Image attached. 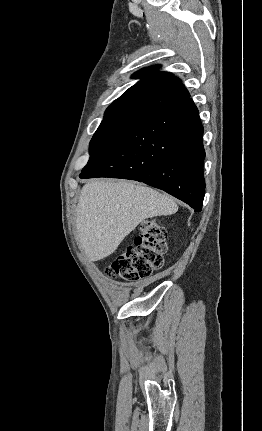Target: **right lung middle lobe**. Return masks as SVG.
<instances>
[{
  "label": "right lung middle lobe",
  "instance_id": "right-lung-middle-lobe-1",
  "mask_svg": "<svg viewBox=\"0 0 262 431\" xmlns=\"http://www.w3.org/2000/svg\"><path fill=\"white\" fill-rule=\"evenodd\" d=\"M132 125H100L90 142V159L82 172L91 167Z\"/></svg>",
  "mask_w": 262,
  "mask_h": 431
}]
</instances>
